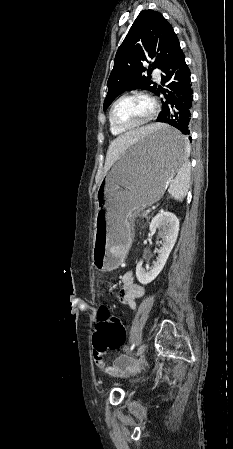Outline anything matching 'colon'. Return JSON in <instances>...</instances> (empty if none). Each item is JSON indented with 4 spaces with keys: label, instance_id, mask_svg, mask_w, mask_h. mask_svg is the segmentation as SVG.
Listing matches in <instances>:
<instances>
[{
    "label": "colon",
    "instance_id": "5ec220e1",
    "mask_svg": "<svg viewBox=\"0 0 233 449\" xmlns=\"http://www.w3.org/2000/svg\"><path fill=\"white\" fill-rule=\"evenodd\" d=\"M94 322L96 331L93 335L95 350L104 354L122 348L126 342V329L120 318L110 315L109 310H98Z\"/></svg>",
    "mask_w": 233,
    "mask_h": 449
}]
</instances>
